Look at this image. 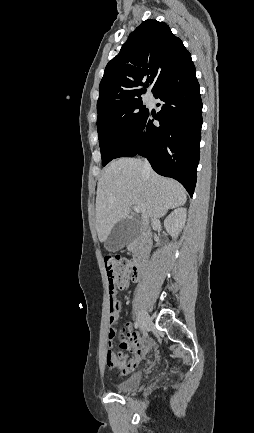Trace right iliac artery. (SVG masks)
Masks as SVG:
<instances>
[{
  "instance_id": "82829eb1",
  "label": "right iliac artery",
  "mask_w": 254,
  "mask_h": 433,
  "mask_svg": "<svg viewBox=\"0 0 254 433\" xmlns=\"http://www.w3.org/2000/svg\"><path fill=\"white\" fill-rule=\"evenodd\" d=\"M134 326H135V328H136V329H138V328H139V326H140V325H139V322H138V321H136V322L134 323Z\"/></svg>"
}]
</instances>
